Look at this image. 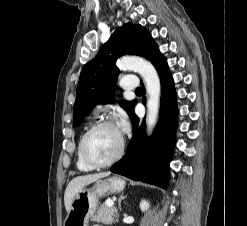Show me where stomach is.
Listing matches in <instances>:
<instances>
[{"label": "stomach", "instance_id": "obj_1", "mask_svg": "<svg viewBox=\"0 0 247 226\" xmlns=\"http://www.w3.org/2000/svg\"><path fill=\"white\" fill-rule=\"evenodd\" d=\"M124 188L125 181L116 176L97 180L91 188H82L71 203L64 226H88L89 219L97 209L99 197L120 193Z\"/></svg>", "mask_w": 247, "mask_h": 226}]
</instances>
